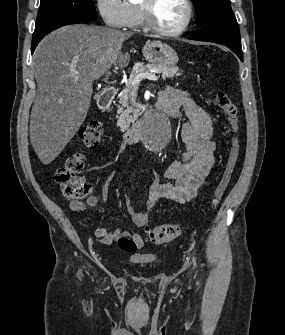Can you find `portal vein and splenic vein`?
Returning <instances> with one entry per match:
<instances>
[{
	"instance_id": "18ae733b",
	"label": "portal vein and splenic vein",
	"mask_w": 285,
	"mask_h": 335,
	"mask_svg": "<svg viewBox=\"0 0 285 335\" xmlns=\"http://www.w3.org/2000/svg\"><path fill=\"white\" fill-rule=\"evenodd\" d=\"M151 72H154V74H148V72H143V74H138V76H135L134 80H132L131 84H139L141 80H144V78H147V80H158V76H155V74H160L161 70H151ZM110 74H107L106 78H109Z\"/></svg>"
}]
</instances>
